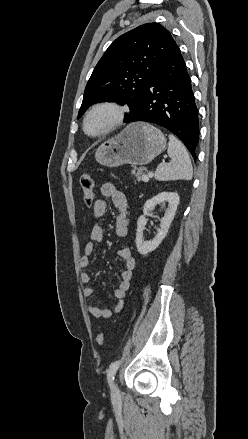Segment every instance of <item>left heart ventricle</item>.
Listing matches in <instances>:
<instances>
[{
    "instance_id": "left-heart-ventricle-1",
    "label": "left heart ventricle",
    "mask_w": 248,
    "mask_h": 439,
    "mask_svg": "<svg viewBox=\"0 0 248 439\" xmlns=\"http://www.w3.org/2000/svg\"><path fill=\"white\" fill-rule=\"evenodd\" d=\"M111 120L112 112L110 110H99L89 118L87 129L90 133H97L106 127Z\"/></svg>"
}]
</instances>
